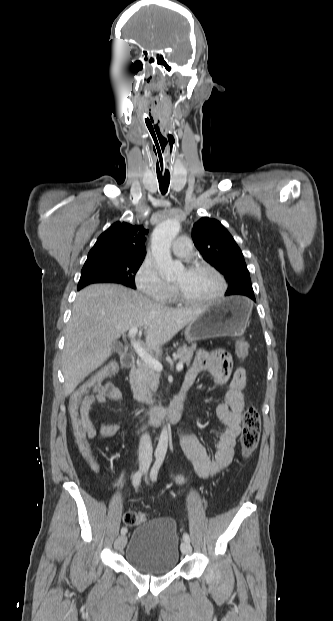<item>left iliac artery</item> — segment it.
Masks as SVG:
<instances>
[{
  "instance_id": "obj_1",
  "label": "left iliac artery",
  "mask_w": 333,
  "mask_h": 621,
  "mask_svg": "<svg viewBox=\"0 0 333 621\" xmlns=\"http://www.w3.org/2000/svg\"><path fill=\"white\" fill-rule=\"evenodd\" d=\"M163 461H164V456L159 455L151 469L150 478L153 482L157 481L158 472H159L160 467L162 466ZM183 540L188 543L190 542V536L188 535V533L183 534Z\"/></svg>"
}]
</instances>
